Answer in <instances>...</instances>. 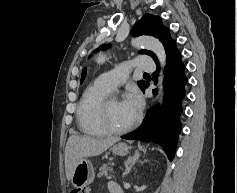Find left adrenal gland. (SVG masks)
<instances>
[{
	"mask_svg": "<svg viewBox=\"0 0 237 193\" xmlns=\"http://www.w3.org/2000/svg\"><path fill=\"white\" fill-rule=\"evenodd\" d=\"M139 153L138 151L135 152L134 155L130 156L126 162H125V171L123 172V177L127 176L130 171H131V168L133 167V165L138 162L139 160Z\"/></svg>",
	"mask_w": 237,
	"mask_h": 193,
	"instance_id": "1",
	"label": "left adrenal gland"
}]
</instances>
